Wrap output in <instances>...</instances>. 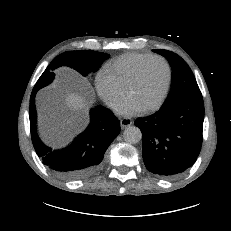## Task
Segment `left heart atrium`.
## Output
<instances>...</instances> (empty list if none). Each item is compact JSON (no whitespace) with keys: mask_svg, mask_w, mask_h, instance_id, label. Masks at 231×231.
Masks as SVG:
<instances>
[{"mask_svg":"<svg viewBox=\"0 0 231 231\" xmlns=\"http://www.w3.org/2000/svg\"><path fill=\"white\" fill-rule=\"evenodd\" d=\"M142 110V106L129 97L117 106V112L124 116H132L140 113Z\"/></svg>","mask_w":231,"mask_h":231,"instance_id":"left-heart-atrium-1","label":"left heart atrium"}]
</instances>
